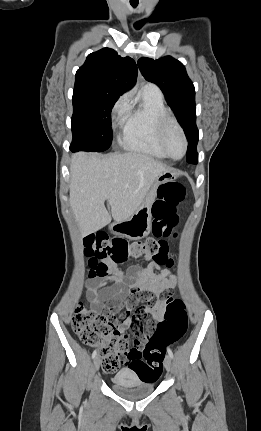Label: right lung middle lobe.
<instances>
[{
  "instance_id": "right-lung-middle-lobe-1",
  "label": "right lung middle lobe",
  "mask_w": 261,
  "mask_h": 431,
  "mask_svg": "<svg viewBox=\"0 0 261 431\" xmlns=\"http://www.w3.org/2000/svg\"><path fill=\"white\" fill-rule=\"evenodd\" d=\"M120 94L100 88L75 85L71 129L75 152L105 151L112 143L111 110Z\"/></svg>"
}]
</instances>
